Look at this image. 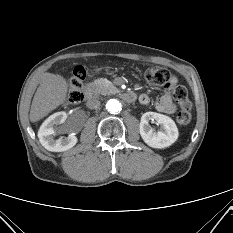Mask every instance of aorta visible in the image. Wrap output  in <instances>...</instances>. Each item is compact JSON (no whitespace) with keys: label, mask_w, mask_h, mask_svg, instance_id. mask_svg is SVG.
<instances>
[{"label":"aorta","mask_w":233,"mask_h":233,"mask_svg":"<svg viewBox=\"0 0 233 233\" xmlns=\"http://www.w3.org/2000/svg\"><path fill=\"white\" fill-rule=\"evenodd\" d=\"M106 109L108 110V112L115 114L121 111L122 105L118 100L110 99L106 104Z\"/></svg>","instance_id":"1"}]
</instances>
